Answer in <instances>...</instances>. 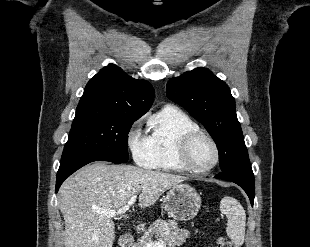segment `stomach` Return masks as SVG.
Returning <instances> with one entry per match:
<instances>
[{
    "mask_svg": "<svg viewBox=\"0 0 310 247\" xmlns=\"http://www.w3.org/2000/svg\"><path fill=\"white\" fill-rule=\"evenodd\" d=\"M163 206L174 220L189 221L197 215L201 206V198L190 185L178 184L167 192Z\"/></svg>",
    "mask_w": 310,
    "mask_h": 247,
    "instance_id": "stomach-1",
    "label": "stomach"
}]
</instances>
